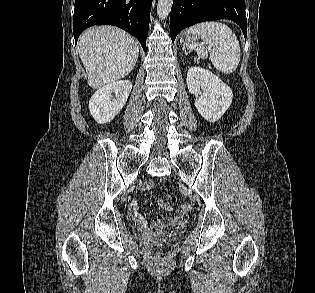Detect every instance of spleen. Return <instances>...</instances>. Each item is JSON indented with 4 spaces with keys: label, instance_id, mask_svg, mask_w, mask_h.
Instances as JSON below:
<instances>
[{
    "label": "spleen",
    "instance_id": "spleen-1",
    "mask_svg": "<svg viewBox=\"0 0 315 293\" xmlns=\"http://www.w3.org/2000/svg\"><path fill=\"white\" fill-rule=\"evenodd\" d=\"M187 35L204 41L195 45L199 58L206 59L207 48L212 47L209 59L214 67L224 74L235 71L240 62V45L227 25L217 21L202 22L190 27Z\"/></svg>",
    "mask_w": 315,
    "mask_h": 293
}]
</instances>
